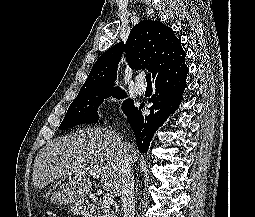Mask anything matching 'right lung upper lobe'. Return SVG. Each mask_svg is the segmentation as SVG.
<instances>
[{
    "label": "right lung upper lobe",
    "instance_id": "right-lung-upper-lobe-1",
    "mask_svg": "<svg viewBox=\"0 0 255 217\" xmlns=\"http://www.w3.org/2000/svg\"><path fill=\"white\" fill-rule=\"evenodd\" d=\"M123 52L132 69L146 68L152 72L153 79L171 70L186 56L171 28L159 21L143 20L132 28L125 45L120 42L99 57L79 93L117 89L113 86Z\"/></svg>",
    "mask_w": 255,
    "mask_h": 217
}]
</instances>
